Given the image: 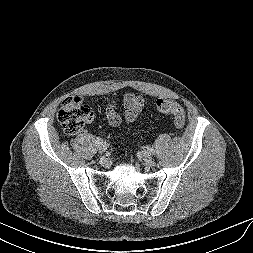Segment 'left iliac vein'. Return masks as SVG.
Returning a JSON list of instances; mask_svg holds the SVG:
<instances>
[{"label": "left iliac vein", "instance_id": "obj_1", "mask_svg": "<svg viewBox=\"0 0 253 253\" xmlns=\"http://www.w3.org/2000/svg\"><path fill=\"white\" fill-rule=\"evenodd\" d=\"M142 157L147 164L152 165L153 161L151 152H149L148 150H144L142 152Z\"/></svg>", "mask_w": 253, "mask_h": 253}]
</instances>
